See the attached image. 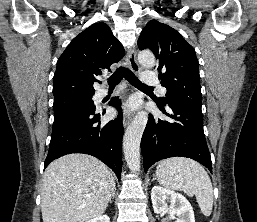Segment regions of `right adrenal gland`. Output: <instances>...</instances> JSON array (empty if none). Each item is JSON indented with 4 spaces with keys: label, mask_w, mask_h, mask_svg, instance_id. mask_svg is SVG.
<instances>
[{
    "label": "right adrenal gland",
    "mask_w": 257,
    "mask_h": 222,
    "mask_svg": "<svg viewBox=\"0 0 257 222\" xmlns=\"http://www.w3.org/2000/svg\"><path fill=\"white\" fill-rule=\"evenodd\" d=\"M115 191L116 189H114L113 193H112V198L114 199L115 198Z\"/></svg>",
    "instance_id": "right-adrenal-gland-1"
}]
</instances>
